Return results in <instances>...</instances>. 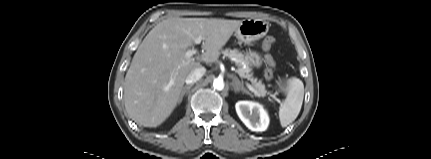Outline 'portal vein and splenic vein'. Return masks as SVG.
Wrapping results in <instances>:
<instances>
[{
	"instance_id": "1",
	"label": "portal vein and splenic vein",
	"mask_w": 431,
	"mask_h": 159,
	"mask_svg": "<svg viewBox=\"0 0 431 159\" xmlns=\"http://www.w3.org/2000/svg\"><path fill=\"white\" fill-rule=\"evenodd\" d=\"M202 40H203V37H202V36H199V37H197V38L194 40V43H195V44H200ZM196 53H197V49L192 48V49H189V50H187V51H186L185 56H186L187 58H191V57H192L194 54H196ZM248 88H249V90H250L251 92L256 93V89H255L253 86H251L250 84H248Z\"/></svg>"
}]
</instances>
